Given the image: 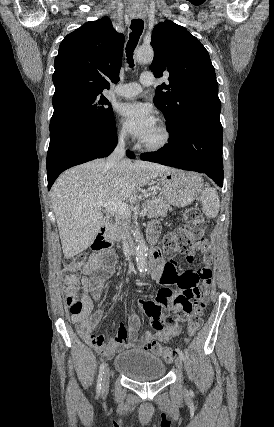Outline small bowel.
<instances>
[{
	"label": "small bowel",
	"instance_id": "c3829d8e",
	"mask_svg": "<svg viewBox=\"0 0 274 427\" xmlns=\"http://www.w3.org/2000/svg\"><path fill=\"white\" fill-rule=\"evenodd\" d=\"M160 226L153 222L148 227V236L151 240L158 237ZM208 254L201 245H194L193 249L183 251L187 254V263L196 265L198 258ZM117 263V255L112 250L97 248L90 253L87 262L83 266L81 286L83 289V309L78 314H72L71 320L76 325L81 338L89 344L98 354L104 357H112L115 354L134 348L144 349L151 341L167 342L173 336H181L182 328L177 320H188L189 311L194 310L195 305H206L210 293V278L214 272L209 264H202L200 269H179L177 264H168V276L163 277V271L168 261L157 259L149 264V271L153 278L157 279L162 289L156 291L157 299H139L137 305L140 312L147 313V319L151 320V326L157 333L146 332L142 338L138 337L141 319L138 314L129 316V324L121 323L117 329V335L113 339H106L101 334H95L96 325L104 317V309L93 311V300L100 299L105 281L110 278ZM205 277V278H204ZM178 284V285H175ZM199 284L202 292H199ZM195 301H178L179 298H187L190 294H198ZM196 299L195 295L191 296Z\"/></svg>",
	"mask_w": 274,
	"mask_h": 427
}]
</instances>
